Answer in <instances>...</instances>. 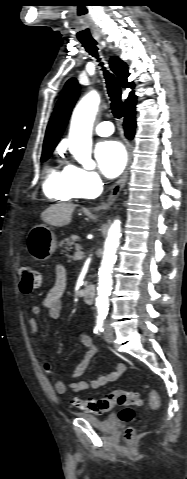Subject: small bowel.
Segmentation results:
<instances>
[{"instance_id":"c3829d8e","label":"small bowel","mask_w":187,"mask_h":479,"mask_svg":"<svg viewBox=\"0 0 187 479\" xmlns=\"http://www.w3.org/2000/svg\"><path fill=\"white\" fill-rule=\"evenodd\" d=\"M66 281L67 276L65 269L62 266L57 267L55 282L45 296V298L43 299L42 306L34 305L31 307L28 324L31 330V334L35 339L36 345L41 349H44V343L41 339L37 337L39 333L38 317L41 313L42 307L47 310L48 316L50 318L57 319L60 317L62 311L63 296L66 289ZM79 341L82 346L86 348V353L82 361L75 367V369L72 372L66 374V377L69 379H76L83 375V373L87 370L92 358L98 352L97 346L88 334L80 333ZM44 368L47 373H51L52 366L50 362H46L44 364ZM125 370V365L119 364L114 371L100 375L99 377L92 379L91 381H79L67 384L62 379L54 376L51 377L50 380L54 390L58 394L62 395L67 393L68 391L79 393L89 388L98 389L109 382H113L117 380L125 372Z\"/></svg>"}]
</instances>
